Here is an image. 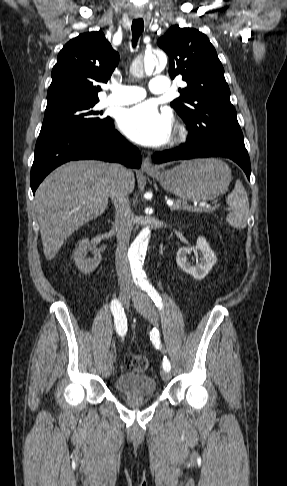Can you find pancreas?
Instances as JSON below:
<instances>
[{
    "mask_svg": "<svg viewBox=\"0 0 287 486\" xmlns=\"http://www.w3.org/2000/svg\"><path fill=\"white\" fill-rule=\"evenodd\" d=\"M176 205H179V207H176ZM187 205V202L182 200V199H176L174 201V207H171V210H181V209H184V206ZM213 209L212 208H207L204 210V212H207V213H210L212 212Z\"/></svg>",
    "mask_w": 287,
    "mask_h": 486,
    "instance_id": "obj_1",
    "label": "pancreas"
}]
</instances>
